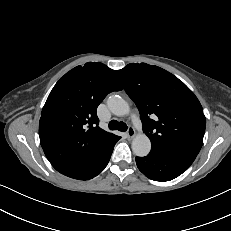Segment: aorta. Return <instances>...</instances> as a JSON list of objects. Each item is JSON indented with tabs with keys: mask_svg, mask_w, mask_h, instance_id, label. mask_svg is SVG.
I'll use <instances>...</instances> for the list:
<instances>
[{
	"mask_svg": "<svg viewBox=\"0 0 231 231\" xmlns=\"http://www.w3.org/2000/svg\"><path fill=\"white\" fill-rule=\"evenodd\" d=\"M109 110L116 116L129 114L130 107L128 103L118 95L109 96L107 99ZM151 150L150 139L145 134H138L132 141V151L138 157H145Z\"/></svg>",
	"mask_w": 231,
	"mask_h": 231,
	"instance_id": "1",
	"label": "aorta"
}]
</instances>
